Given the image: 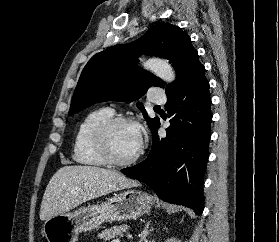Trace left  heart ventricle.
Wrapping results in <instances>:
<instances>
[{"label": "left heart ventricle", "mask_w": 279, "mask_h": 242, "mask_svg": "<svg viewBox=\"0 0 279 242\" xmlns=\"http://www.w3.org/2000/svg\"><path fill=\"white\" fill-rule=\"evenodd\" d=\"M111 148L118 159L133 156L140 145V131L133 125H120L111 133Z\"/></svg>", "instance_id": "obj_1"}]
</instances>
